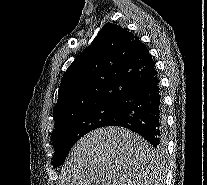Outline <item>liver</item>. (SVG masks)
Segmentation results:
<instances>
[{
    "label": "liver",
    "mask_w": 207,
    "mask_h": 185,
    "mask_svg": "<svg viewBox=\"0 0 207 185\" xmlns=\"http://www.w3.org/2000/svg\"><path fill=\"white\" fill-rule=\"evenodd\" d=\"M155 151L125 127H101L81 137L64 165L62 185H152Z\"/></svg>",
    "instance_id": "liver-1"
}]
</instances>
